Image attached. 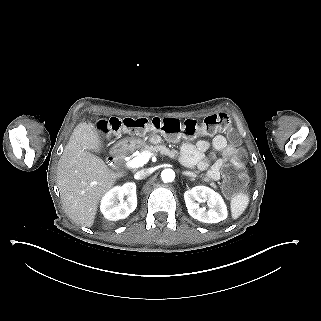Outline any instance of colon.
<instances>
[{"instance_id":"5ec220e1","label":"colon","mask_w":321,"mask_h":321,"mask_svg":"<svg viewBox=\"0 0 321 321\" xmlns=\"http://www.w3.org/2000/svg\"><path fill=\"white\" fill-rule=\"evenodd\" d=\"M97 129L102 134L120 132L144 133L146 131H161L169 136L185 135L197 137L200 135H214L224 133L230 141V148L226 154L229 164L223 175V189L228 196L235 195L243 188L248 176L244 171L245 153L239 148V137L234 132L231 119L225 113H215L207 116L201 124L195 120L180 121L172 117L147 118H109L98 122Z\"/></svg>"}]
</instances>
